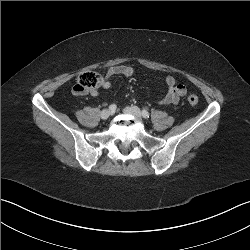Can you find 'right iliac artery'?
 Segmentation results:
<instances>
[{"label":"right iliac artery","instance_id":"obj_1","mask_svg":"<svg viewBox=\"0 0 250 250\" xmlns=\"http://www.w3.org/2000/svg\"><path fill=\"white\" fill-rule=\"evenodd\" d=\"M116 108H117V106H116L115 104H111V105L109 106V110H111V111H115Z\"/></svg>","mask_w":250,"mask_h":250}]
</instances>
